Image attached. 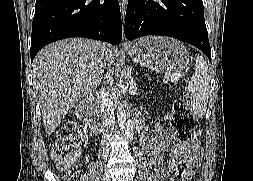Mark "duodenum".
Returning a JSON list of instances; mask_svg holds the SVG:
<instances>
[{
    "label": "duodenum",
    "mask_w": 253,
    "mask_h": 181,
    "mask_svg": "<svg viewBox=\"0 0 253 181\" xmlns=\"http://www.w3.org/2000/svg\"><path fill=\"white\" fill-rule=\"evenodd\" d=\"M96 105V98L88 97L79 107L80 116L88 123L90 129L95 133L102 130L100 113L97 111Z\"/></svg>",
    "instance_id": "410a0bca"
}]
</instances>
